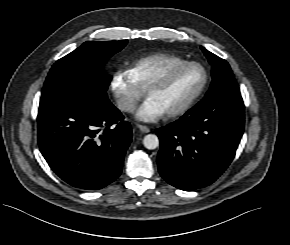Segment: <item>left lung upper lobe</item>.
<instances>
[{"label":"left lung upper lobe","mask_w":290,"mask_h":245,"mask_svg":"<svg viewBox=\"0 0 290 245\" xmlns=\"http://www.w3.org/2000/svg\"><path fill=\"white\" fill-rule=\"evenodd\" d=\"M201 49L212 66V83L202 101L213 100L221 96H241L229 64L204 47L201 46Z\"/></svg>","instance_id":"1"}]
</instances>
